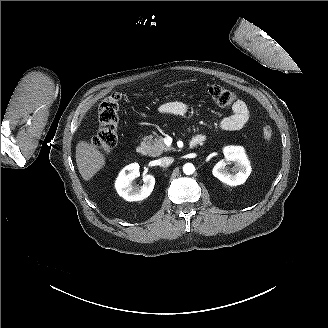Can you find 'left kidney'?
I'll use <instances>...</instances> for the list:
<instances>
[{
	"mask_svg": "<svg viewBox=\"0 0 328 328\" xmlns=\"http://www.w3.org/2000/svg\"><path fill=\"white\" fill-rule=\"evenodd\" d=\"M225 158L213 168V175L230 186L243 184L251 173V167L242 147L229 146L224 148ZM233 164L229 169L228 164Z\"/></svg>",
	"mask_w": 328,
	"mask_h": 328,
	"instance_id": "obj_1",
	"label": "left kidney"
}]
</instances>
